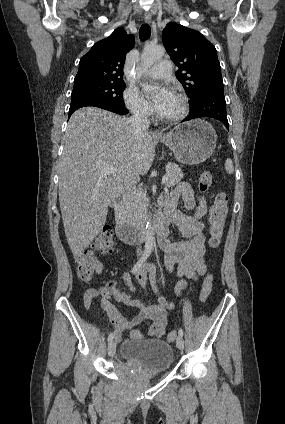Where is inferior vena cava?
I'll list each match as a JSON object with an SVG mask.
<instances>
[{"label":"inferior vena cava","instance_id":"1","mask_svg":"<svg viewBox=\"0 0 285 424\" xmlns=\"http://www.w3.org/2000/svg\"><path fill=\"white\" fill-rule=\"evenodd\" d=\"M129 121L136 135L147 131L150 124L147 113L141 107H136L133 109V115L129 118ZM137 253L140 255L141 249L138 248Z\"/></svg>","mask_w":285,"mask_h":424}]
</instances>
